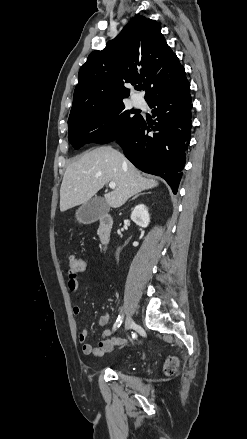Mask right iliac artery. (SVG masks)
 Returning <instances> with one entry per match:
<instances>
[{"mask_svg": "<svg viewBox=\"0 0 247 439\" xmlns=\"http://www.w3.org/2000/svg\"><path fill=\"white\" fill-rule=\"evenodd\" d=\"M122 322H123V315H119L117 320H116V322H115V324H114L113 329L116 330L118 327H120Z\"/></svg>", "mask_w": 247, "mask_h": 439, "instance_id": "1", "label": "right iliac artery"}]
</instances>
